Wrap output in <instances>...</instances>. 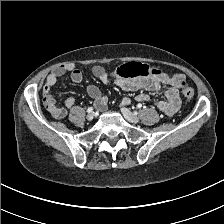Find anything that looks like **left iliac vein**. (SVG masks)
<instances>
[{
    "label": "left iliac vein",
    "mask_w": 224,
    "mask_h": 224,
    "mask_svg": "<svg viewBox=\"0 0 224 224\" xmlns=\"http://www.w3.org/2000/svg\"><path fill=\"white\" fill-rule=\"evenodd\" d=\"M121 112L129 122L131 123L139 122V118L134 113H132L129 109L122 107Z\"/></svg>",
    "instance_id": "obj_1"
}]
</instances>
